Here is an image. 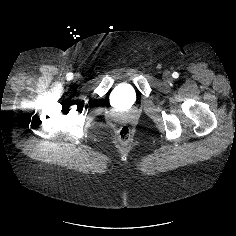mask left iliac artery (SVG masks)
I'll return each mask as SVG.
<instances>
[{"mask_svg": "<svg viewBox=\"0 0 236 236\" xmlns=\"http://www.w3.org/2000/svg\"><path fill=\"white\" fill-rule=\"evenodd\" d=\"M172 76H173L174 78H177V77L179 76V74H178L177 72H174V73L172 74Z\"/></svg>", "mask_w": 236, "mask_h": 236, "instance_id": "left-iliac-artery-1", "label": "left iliac artery"}]
</instances>
